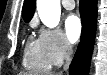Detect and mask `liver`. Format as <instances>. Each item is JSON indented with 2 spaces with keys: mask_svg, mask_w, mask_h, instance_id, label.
Returning a JSON list of instances; mask_svg holds the SVG:
<instances>
[{
  "mask_svg": "<svg viewBox=\"0 0 107 75\" xmlns=\"http://www.w3.org/2000/svg\"><path fill=\"white\" fill-rule=\"evenodd\" d=\"M19 75H33V74L28 73V72H22V73H20ZM46 75H59V74H51V73H48V74H46Z\"/></svg>",
  "mask_w": 107,
  "mask_h": 75,
  "instance_id": "liver-1",
  "label": "liver"
}]
</instances>
